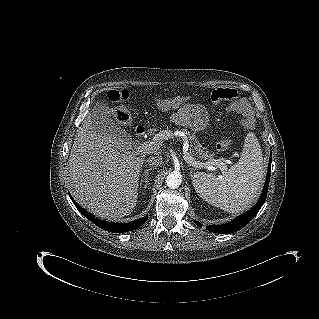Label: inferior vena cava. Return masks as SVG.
Instances as JSON below:
<instances>
[{
	"instance_id": "inferior-vena-cava-1",
	"label": "inferior vena cava",
	"mask_w": 319,
	"mask_h": 319,
	"mask_svg": "<svg viewBox=\"0 0 319 319\" xmlns=\"http://www.w3.org/2000/svg\"><path fill=\"white\" fill-rule=\"evenodd\" d=\"M147 164L153 168L159 167L163 163V157L160 155H152L147 158L146 160Z\"/></svg>"
}]
</instances>
